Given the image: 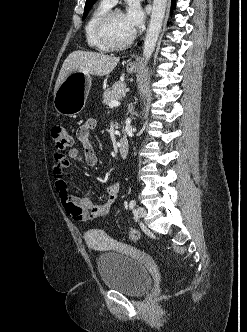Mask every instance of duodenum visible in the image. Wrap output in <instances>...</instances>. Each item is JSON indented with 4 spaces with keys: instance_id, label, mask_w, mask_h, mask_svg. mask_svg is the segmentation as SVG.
Returning <instances> with one entry per match:
<instances>
[{
    "instance_id": "obj_1",
    "label": "duodenum",
    "mask_w": 247,
    "mask_h": 332,
    "mask_svg": "<svg viewBox=\"0 0 247 332\" xmlns=\"http://www.w3.org/2000/svg\"><path fill=\"white\" fill-rule=\"evenodd\" d=\"M128 150H129L128 140L125 137H123L118 145L119 155L122 158H125L128 154Z\"/></svg>"
}]
</instances>
